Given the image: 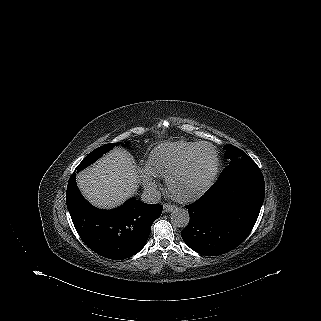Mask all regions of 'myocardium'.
Instances as JSON below:
<instances>
[{"instance_id":"myocardium-1","label":"myocardium","mask_w":321,"mask_h":321,"mask_svg":"<svg viewBox=\"0 0 321 321\" xmlns=\"http://www.w3.org/2000/svg\"><path fill=\"white\" fill-rule=\"evenodd\" d=\"M202 147H209L213 150L214 156H215V163H214V168L213 171L209 177V179L207 180V182L198 190L187 194V195H182L179 194L177 192H175L173 190V181L175 179V177H177L179 174H181L182 172L186 171L194 156L196 155V153L198 152V150ZM218 169H219V156L217 153V150L215 149V147L211 144V143H207V142H202L199 143L193 150L192 152L178 165H176L167 175H166V187L168 192L176 199L180 200V201H191L194 200L196 198H198L200 195H202L205 191L208 190V188L212 185V183L214 182L217 174H218Z\"/></svg>"}]
</instances>
